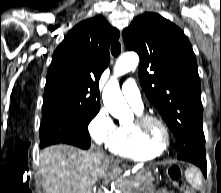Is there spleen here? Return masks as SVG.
Instances as JSON below:
<instances>
[{"mask_svg":"<svg viewBox=\"0 0 221 193\" xmlns=\"http://www.w3.org/2000/svg\"><path fill=\"white\" fill-rule=\"evenodd\" d=\"M185 177L187 182L196 190L202 188V175L195 167L188 168L185 171Z\"/></svg>","mask_w":221,"mask_h":193,"instance_id":"3e777b00","label":"spleen"}]
</instances>
